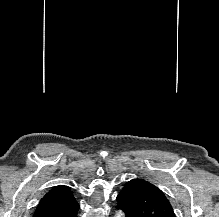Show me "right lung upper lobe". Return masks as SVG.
Listing matches in <instances>:
<instances>
[{
  "label": "right lung upper lobe",
  "instance_id": "right-lung-upper-lobe-1",
  "mask_svg": "<svg viewBox=\"0 0 219 217\" xmlns=\"http://www.w3.org/2000/svg\"><path fill=\"white\" fill-rule=\"evenodd\" d=\"M72 191L68 186L61 185L51 189L39 202L33 217H68L78 211Z\"/></svg>",
  "mask_w": 219,
  "mask_h": 217
}]
</instances>
